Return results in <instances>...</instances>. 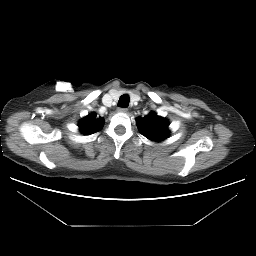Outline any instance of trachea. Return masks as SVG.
I'll return each instance as SVG.
<instances>
[{
	"label": "trachea",
	"mask_w": 256,
	"mask_h": 256,
	"mask_svg": "<svg viewBox=\"0 0 256 256\" xmlns=\"http://www.w3.org/2000/svg\"><path fill=\"white\" fill-rule=\"evenodd\" d=\"M129 102H130L129 96L127 94H123L122 96H120L117 105L121 108H126L129 106Z\"/></svg>",
	"instance_id": "trachea-1"
}]
</instances>
